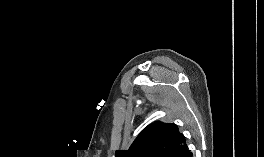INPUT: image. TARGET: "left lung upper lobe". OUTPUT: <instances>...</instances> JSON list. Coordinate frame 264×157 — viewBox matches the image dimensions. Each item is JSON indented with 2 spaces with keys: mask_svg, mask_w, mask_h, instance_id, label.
<instances>
[{
  "mask_svg": "<svg viewBox=\"0 0 264 157\" xmlns=\"http://www.w3.org/2000/svg\"><path fill=\"white\" fill-rule=\"evenodd\" d=\"M185 137L177 125L156 121L137 136L128 150H117L115 157H191Z\"/></svg>",
  "mask_w": 264,
  "mask_h": 157,
  "instance_id": "5c2ea615",
  "label": "left lung upper lobe"
}]
</instances>
